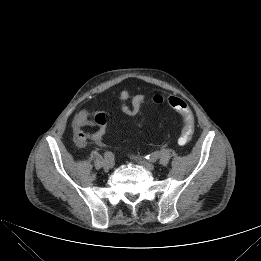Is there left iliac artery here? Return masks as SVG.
I'll use <instances>...</instances> for the list:
<instances>
[{"instance_id":"1","label":"left iliac artery","mask_w":261,"mask_h":261,"mask_svg":"<svg viewBox=\"0 0 261 261\" xmlns=\"http://www.w3.org/2000/svg\"><path fill=\"white\" fill-rule=\"evenodd\" d=\"M161 157V152L156 151L152 154H149L146 156V159H148L149 161H156L157 159H159Z\"/></svg>"}]
</instances>
